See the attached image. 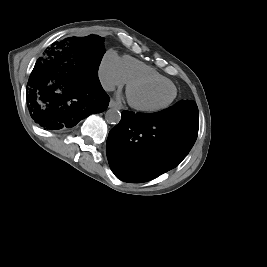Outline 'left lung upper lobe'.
<instances>
[{
    "label": "left lung upper lobe",
    "mask_w": 267,
    "mask_h": 267,
    "mask_svg": "<svg viewBox=\"0 0 267 267\" xmlns=\"http://www.w3.org/2000/svg\"><path fill=\"white\" fill-rule=\"evenodd\" d=\"M167 110H186L198 114V108L194 101H179L174 106L169 107Z\"/></svg>",
    "instance_id": "5c2ea615"
}]
</instances>
